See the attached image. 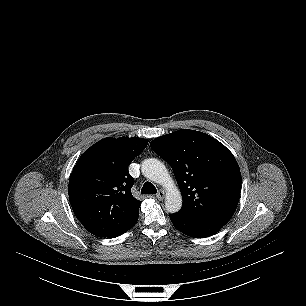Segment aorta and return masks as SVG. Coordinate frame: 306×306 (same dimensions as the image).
Listing matches in <instances>:
<instances>
[{
	"mask_svg": "<svg viewBox=\"0 0 306 306\" xmlns=\"http://www.w3.org/2000/svg\"><path fill=\"white\" fill-rule=\"evenodd\" d=\"M141 171L147 179L166 189L165 208L167 212H178L182 207V196L165 165L158 159L149 158L142 162Z\"/></svg>",
	"mask_w": 306,
	"mask_h": 306,
	"instance_id": "aorta-1",
	"label": "aorta"
}]
</instances>
